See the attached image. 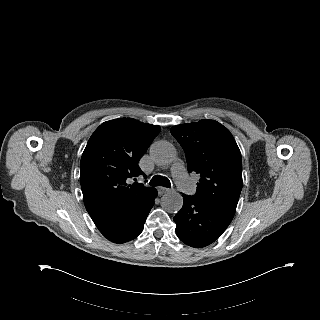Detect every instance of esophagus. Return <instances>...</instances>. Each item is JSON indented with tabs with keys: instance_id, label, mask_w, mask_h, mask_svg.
Returning <instances> with one entry per match:
<instances>
[{
	"instance_id": "obj_1",
	"label": "esophagus",
	"mask_w": 320,
	"mask_h": 320,
	"mask_svg": "<svg viewBox=\"0 0 320 320\" xmlns=\"http://www.w3.org/2000/svg\"><path fill=\"white\" fill-rule=\"evenodd\" d=\"M171 190L169 188H166V187H159L158 188V192L159 194H165V193H168L170 192Z\"/></svg>"
}]
</instances>
